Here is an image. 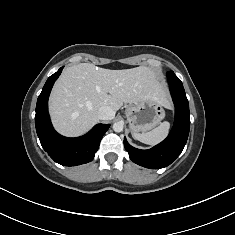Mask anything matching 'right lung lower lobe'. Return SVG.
Returning a JSON list of instances; mask_svg holds the SVG:
<instances>
[{
  "label": "right lung lower lobe",
  "instance_id": "right-lung-lower-lobe-1",
  "mask_svg": "<svg viewBox=\"0 0 235 235\" xmlns=\"http://www.w3.org/2000/svg\"><path fill=\"white\" fill-rule=\"evenodd\" d=\"M62 68L46 81L36 105L35 126L40 143L48 155L64 166H77L90 162L110 124H98L89 133L78 138H66L53 128L48 114V98Z\"/></svg>",
  "mask_w": 235,
  "mask_h": 235
}]
</instances>
